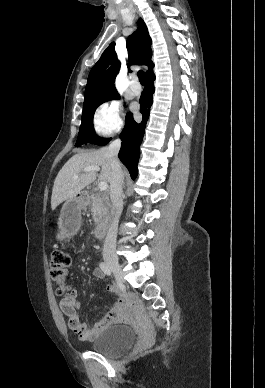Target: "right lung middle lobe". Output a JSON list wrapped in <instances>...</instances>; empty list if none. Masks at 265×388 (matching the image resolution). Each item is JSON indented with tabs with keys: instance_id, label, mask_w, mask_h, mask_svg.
I'll return each instance as SVG.
<instances>
[{
	"instance_id": "obj_1",
	"label": "right lung middle lobe",
	"mask_w": 265,
	"mask_h": 388,
	"mask_svg": "<svg viewBox=\"0 0 265 388\" xmlns=\"http://www.w3.org/2000/svg\"><path fill=\"white\" fill-rule=\"evenodd\" d=\"M120 96L116 89L109 90L100 94H96L87 100H84L83 112H82V122L78 134V139L76 145L80 146L82 144L94 143L96 145H106L112 138H101L95 134L93 127V116L96 108L108 101L113 99H119Z\"/></svg>"
}]
</instances>
